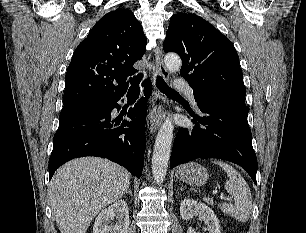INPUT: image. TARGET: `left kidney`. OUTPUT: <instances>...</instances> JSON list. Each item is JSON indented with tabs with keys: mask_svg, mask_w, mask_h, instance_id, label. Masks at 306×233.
Returning <instances> with one entry per match:
<instances>
[{
	"mask_svg": "<svg viewBox=\"0 0 306 233\" xmlns=\"http://www.w3.org/2000/svg\"><path fill=\"white\" fill-rule=\"evenodd\" d=\"M180 214L182 219L188 220L194 215H199V219L206 224L205 231L209 233H221L220 224L213 210L207 205L196 202L192 199H185L180 204ZM187 233H199L192 227H189Z\"/></svg>",
	"mask_w": 306,
	"mask_h": 233,
	"instance_id": "obj_1",
	"label": "left kidney"
}]
</instances>
